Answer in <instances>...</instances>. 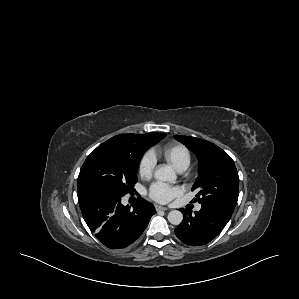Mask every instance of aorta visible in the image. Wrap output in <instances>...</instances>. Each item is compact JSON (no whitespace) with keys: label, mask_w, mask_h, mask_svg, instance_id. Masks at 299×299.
I'll return each mask as SVG.
<instances>
[{"label":"aorta","mask_w":299,"mask_h":299,"mask_svg":"<svg viewBox=\"0 0 299 299\" xmlns=\"http://www.w3.org/2000/svg\"><path fill=\"white\" fill-rule=\"evenodd\" d=\"M154 177L158 181L174 182L176 174L170 166H163L154 172ZM183 220V214L178 210H172L168 214V221L173 225H179Z\"/></svg>","instance_id":"obj_1"}]
</instances>
